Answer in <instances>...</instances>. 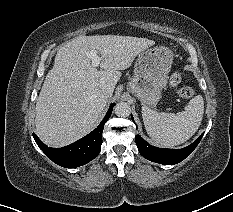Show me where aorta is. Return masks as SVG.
<instances>
[{
	"mask_svg": "<svg viewBox=\"0 0 233 212\" xmlns=\"http://www.w3.org/2000/svg\"><path fill=\"white\" fill-rule=\"evenodd\" d=\"M131 113V107L128 103L126 102H119L115 106V114L118 117H128Z\"/></svg>",
	"mask_w": 233,
	"mask_h": 212,
	"instance_id": "1",
	"label": "aorta"
}]
</instances>
